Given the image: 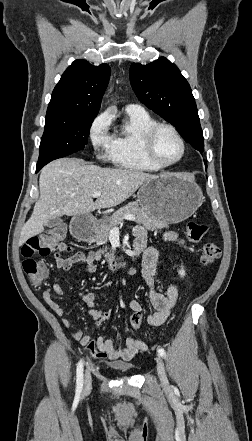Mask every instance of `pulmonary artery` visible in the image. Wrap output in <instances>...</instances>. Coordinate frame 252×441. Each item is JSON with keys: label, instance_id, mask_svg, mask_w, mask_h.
<instances>
[{"label": "pulmonary artery", "instance_id": "e3ab8cb5", "mask_svg": "<svg viewBox=\"0 0 252 441\" xmlns=\"http://www.w3.org/2000/svg\"><path fill=\"white\" fill-rule=\"evenodd\" d=\"M125 110L127 112H133V113H141L144 112V109L139 104H127L125 106Z\"/></svg>", "mask_w": 252, "mask_h": 441}]
</instances>
